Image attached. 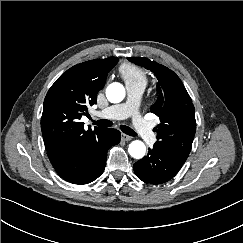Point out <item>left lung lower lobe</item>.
Masks as SVG:
<instances>
[{"label": "left lung lower lobe", "mask_w": 243, "mask_h": 243, "mask_svg": "<svg viewBox=\"0 0 243 243\" xmlns=\"http://www.w3.org/2000/svg\"><path fill=\"white\" fill-rule=\"evenodd\" d=\"M185 161L154 146L148 155L133 165L135 174L145 183L162 184L172 179Z\"/></svg>", "instance_id": "obj_1"}]
</instances>
